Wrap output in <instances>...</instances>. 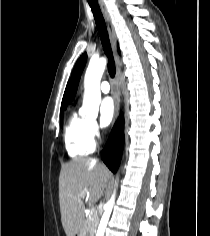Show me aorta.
Wrapping results in <instances>:
<instances>
[{
	"mask_svg": "<svg viewBox=\"0 0 210 236\" xmlns=\"http://www.w3.org/2000/svg\"><path fill=\"white\" fill-rule=\"evenodd\" d=\"M107 64L106 58L91 59L84 78V99L82 113L88 118L95 119L98 115L99 104L101 101L100 81ZM115 201V193L105 205V211L102 215L98 233L104 234L109 221L112 208ZM98 236V235H97Z\"/></svg>",
	"mask_w": 210,
	"mask_h": 236,
	"instance_id": "aorta-1",
	"label": "aorta"
}]
</instances>
